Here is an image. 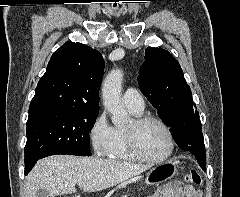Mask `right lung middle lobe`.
I'll return each instance as SVG.
<instances>
[{"label":"right lung middle lobe","mask_w":240,"mask_h":197,"mask_svg":"<svg viewBox=\"0 0 240 197\" xmlns=\"http://www.w3.org/2000/svg\"><path fill=\"white\" fill-rule=\"evenodd\" d=\"M98 112L47 109L29 113L25 166L54 154L90 156L89 132Z\"/></svg>","instance_id":"right-lung-middle-lobe-1"}]
</instances>
